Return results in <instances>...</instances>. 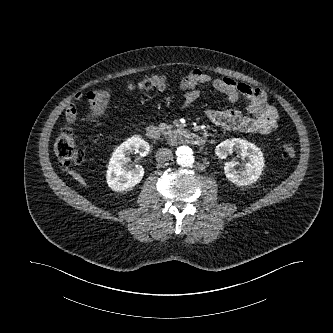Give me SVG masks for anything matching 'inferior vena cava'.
Wrapping results in <instances>:
<instances>
[{"instance_id":"1","label":"inferior vena cava","mask_w":333,"mask_h":333,"mask_svg":"<svg viewBox=\"0 0 333 333\" xmlns=\"http://www.w3.org/2000/svg\"><path fill=\"white\" fill-rule=\"evenodd\" d=\"M172 152L168 148H162L156 153V161L158 163H166L172 160Z\"/></svg>"}]
</instances>
